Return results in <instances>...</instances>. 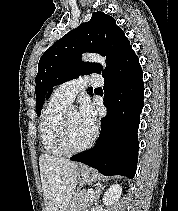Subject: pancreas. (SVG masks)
<instances>
[{
    "instance_id": "pancreas-1",
    "label": "pancreas",
    "mask_w": 178,
    "mask_h": 211,
    "mask_svg": "<svg viewBox=\"0 0 178 211\" xmlns=\"http://www.w3.org/2000/svg\"><path fill=\"white\" fill-rule=\"evenodd\" d=\"M92 192H77L71 200L69 211H82L91 204Z\"/></svg>"
}]
</instances>
